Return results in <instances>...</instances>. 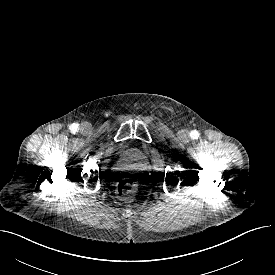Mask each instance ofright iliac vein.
Returning <instances> with one entry per match:
<instances>
[{"label":"right iliac vein","mask_w":275,"mask_h":275,"mask_svg":"<svg viewBox=\"0 0 275 275\" xmlns=\"http://www.w3.org/2000/svg\"><path fill=\"white\" fill-rule=\"evenodd\" d=\"M89 129V125L88 124H85L83 127H82V130L83 131H88Z\"/></svg>","instance_id":"1"}]
</instances>
